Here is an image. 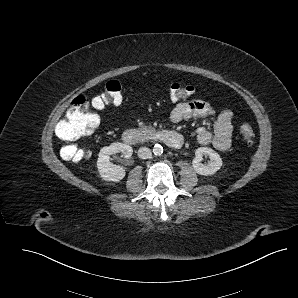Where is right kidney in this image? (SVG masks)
I'll list each match as a JSON object with an SVG mask.
<instances>
[{"label": "right kidney", "mask_w": 298, "mask_h": 298, "mask_svg": "<svg viewBox=\"0 0 298 298\" xmlns=\"http://www.w3.org/2000/svg\"><path fill=\"white\" fill-rule=\"evenodd\" d=\"M117 153H121L122 157L128 159L132 156L133 149L130 145L114 142L109 146L101 148L98 154L97 168L100 176L105 181L118 182L125 177L124 168L110 161V156Z\"/></svg>", "instance_id": "right-kidney-1"}]
</instances>
